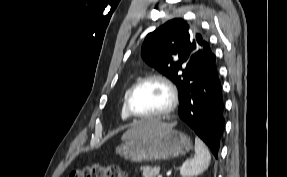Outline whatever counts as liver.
I'll use <instances>...</instances> for the list:
<instances>
[{"label":"liver","instance_id":"1","mask_svg":"<svg viewBox=\"0 0 287 177\" xmlns=\"http://www.w3.org/2000/svg\"><path fill=\"white\" fill-rule=\"evenodd\" d=\"M174 125H175L174 123L167 124L156 119L141 121L137 123L135 126H133L130 130L125 132L122 136V140L131 138L134 136L143 135V134L153 132L156 130H160L163 128H171Z\"/></svg>","mask_w":287,"mask_h":177}]
</instances>
